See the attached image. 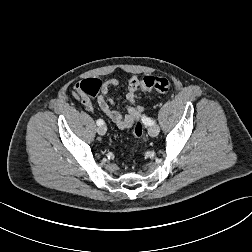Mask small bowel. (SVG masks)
Here are the masks:
<instances>
[{
	"label": "small bowel",
	"mask_w": 252,
	"mask_h": 252,
	"mask_svg": "<svg viewBox=\"0 0 252 252\" xmlns=\"http://www.w3.org/2000/svg\"><path fill=\"white\" fill-rule=\"evenodd\" d=\"M117 79H109L103 83L101 93L97 98V103L108 120L113 123L118 129L125 130L133 126L134 121L139 120L143 107L136 104L138 99V92L141 89L139 86L138 78L132 76L128 80V93L126 98L130 105L126 108V114L122 115L119 111L113 108L114 101L109 96V90L118 86ZM75 99L79 100L86 110L92 111L93 104L91 100L80 89V83H77L72 91Z\"/></svg>",
	"instance_id": "obj_1"
}]
</instances>
